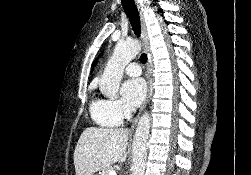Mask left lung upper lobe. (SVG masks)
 Masks as SVG:
<instances>
[{"label": "left lung upper lobe", "instance_id": "left-lung-upper-lobe-1", "mask_svg": "<svg viewBox=\"0 0 251 175\" xmlns=\"http://www.w3.org/2000/svg\"><path fill=\"white\" fill-rule=\"evenodd\" d=\"M96 63H97V60L94 61V64H96Z\"/></svg>", "mask_w": 251, "mask_h": 175}]
</instances>
